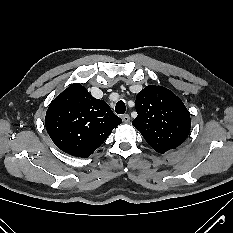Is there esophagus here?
I'll list each match as a JSON object with an SVG mask.
<instances>
[{
    "label": "esophagus",
    "mask_w": 233,
    "mask_h": 233,
    "mask_svg": "<svg viewBox=\"0 0 233 233\" xmlns=\"http://www.w3.org/2000/svg\"><path fill=\"white\" fill-rule=\"evenodd\" d=\"M122 120L124 123H129L130 122V116L128 114H125L122 116Z\"/></svg>",
    "instance_id": "1"
}]
</instances>
